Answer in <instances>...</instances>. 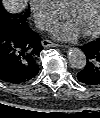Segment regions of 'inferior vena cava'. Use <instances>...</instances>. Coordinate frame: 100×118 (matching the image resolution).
I'll list each match as a JSON object with an SVG mask.
<instances>
[{"label": "inferior vena cava", "mask_w": 100, "mask_h": 118, "mask_svg": "<svg viewBox=\"0 0 100 118\" xmlns=\"http://www.w3.org/2000/svg\"><path fill=\"white\" fill-rule=\"evenodd\" d=\"M35 23H36V27L40 30H45L48 29L49 27V22L46 20H37Z\"/></svg>", "instance_id": "obj_1"}]
</instances>
